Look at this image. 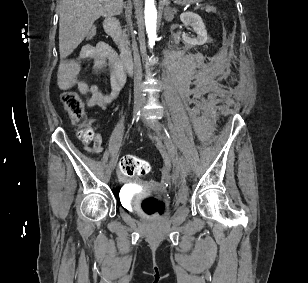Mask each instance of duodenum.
<instances>
[{"label":"duodenum","mask_w":308,"mask_h":283,"mask_svg":"<svg viewBox=\"0 0 308 283\" xmlns=\"http://www.w3.org/2000/svg\"><path fill=\"white\" fill-rule=\"evenodd\" d=\"M104 30L106 34L119 47L121 53V62L124 70L128 73H131L133 69L132 54L125 46L118 19L115 17H108L104 22Z\"/></svg>","instance_id":"duodenum-1"}]
</instances>
